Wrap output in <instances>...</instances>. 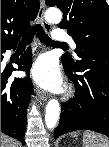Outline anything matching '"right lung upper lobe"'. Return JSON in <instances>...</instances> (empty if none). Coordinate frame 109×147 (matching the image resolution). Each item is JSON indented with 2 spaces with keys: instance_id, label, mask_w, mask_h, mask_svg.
<instances>
[{
  "instance_id": "1",
  "label": "right lung upper lobe",
  "mask_w": 109,
  "mask_h": 147,
  "mask_svg": "<svg viewBox=\"0 0 109 147\" xmlns=\"http://www.w3.org/2000/svg\"><path fill=\"white\" fill-rule=\"evenodd\" d=\"M39 8L36 0H1V46L17 41L26 33Z\"/></svg>"
}]
</instances>
